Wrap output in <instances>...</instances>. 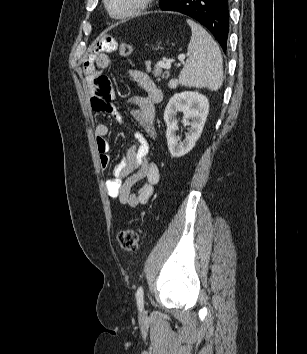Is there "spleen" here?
I'll list each match as a JSON object with an SVG mask.
<instances>
[{"label":"spleen","mask_w":307,"mask_h":354,"mask_svg":"<svg viewBox=\"0 0 307 354\" xmlns=\"http://www.w3.org/2000/svg\"><path fill=\"white\" fill-rule=\"evenodd\" d=\"M192 36L188 45V59L178 79L171 80L169 86L178 85L208 88L216 91L223 82V59L220 49L211 35L192 20H187Z\"/></svg>","instance_id":"obj_1"}]
</instances>
